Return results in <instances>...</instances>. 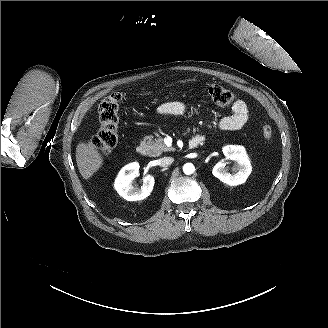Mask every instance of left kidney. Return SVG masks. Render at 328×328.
<instances>
[{"label": "left kidney", "instance_id": "obj_1", "mask_svg": "<svg viewBox=\"0 0 328 328\" xmlns=\"http://www.w3.org/2000/svg\"><path fill=\"white\" fill-rule=\"evenodd\" d=\"M222 150L227 159L236 162L233 168L235 173H229L226 164L220 161L213 167L212 174L230 186L243 184L252 172V166L245 148L240 145H226Z\"/></svg>", "mask_w": 328, "mask_h": 328}]
</instances>
